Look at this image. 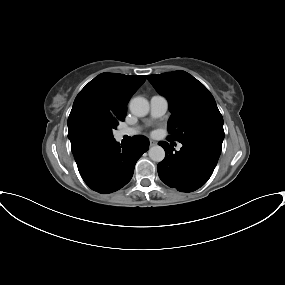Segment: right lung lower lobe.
Wrapping results in <instances>:
<instances>
[{"mask_svg":"<svg viewBox=\"0 0 285 285\" xmlns=\"http://www.w3.org/2000/svg\"><path fill=\"white\" fill-rule=\"evenodd\" d=\"M149 148V140L136 135L125 146L115 140L87 143L72 150L85 183L99 193H112L132 178L137 160Z\"/></svg>","mask_w":285,"mask_h":285,"instance_id":"obj_1","label":"right lung lower lobe"}]
</instances>
